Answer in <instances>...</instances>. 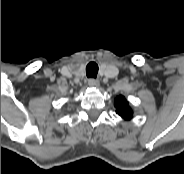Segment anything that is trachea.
<instances>
[{
	"mask_svg": "<svg viewBox=\"0 0 184 174\" xmlns=\"http://www.w3.org/2000/svg\"><path fill=\"white\" fill-rule=\"evenodd\" d=\"M98 73V65L95 62H89L86 66V75L89 78H96Z\"/></svg>",
	"mask_w": 184,
	"mask_h": 174,
	"instance_id": "trachea-1",
	"label": "trachea"
}]
</instances>
